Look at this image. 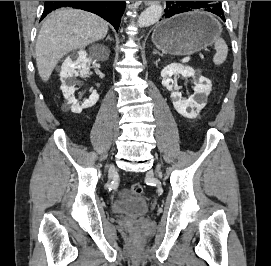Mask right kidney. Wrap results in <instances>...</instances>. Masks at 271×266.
I'll use <instances>...</instances> for the list:
<instances>
[{
    "instance_id": "1",
    "label": "right kidney",
    "mask_w": 271,
    "mask_h": 266,
    "mask_svg": "<svg viewBox=\"0 0 271 266\" xmlns=\"http://www.w3.org/2000/svg\"><path fill=\"white\" fill-rule=\"evenodd\" d=\"M95 57V53L91 56L85 50L81 49L77 53H73L68 56L61 66V90L63 92L64 98L67 100L68 104L71 105V111L74 113H81L83 109L94 106L99 99V94L96 90H93L89 98L86 99L81 105L74 97L75 77H77L79 73L80 75H86L89 70L87 64L90 63L92 58ZM78 65H81L82 70H76Z\"/></svg>"
}]
</instances>
